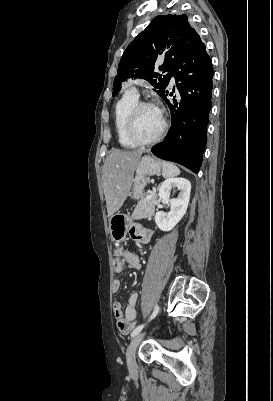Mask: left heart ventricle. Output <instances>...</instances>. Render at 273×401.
<instances>
[{"label":"left heart ventricle","instance_id":"left-heart-ventricle-1","mask_svg":"<svg viewBox=\"0 0 273 401\" xmlns=\"http://www.w3.org/2000/svg\"><path fill=\"white\" fill-rule=\"evenodd\" d=\"M163 125L162 115L158 110L149 107H142L135 119L134 131L142 139L155 137Z\"/></svg>","mask_w":273,"mask_h":401}]
</instances>
